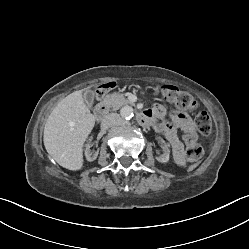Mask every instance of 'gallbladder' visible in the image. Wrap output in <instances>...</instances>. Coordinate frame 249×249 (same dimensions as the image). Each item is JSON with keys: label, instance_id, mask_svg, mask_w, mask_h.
<instances>
[{"label": "gallbladder", "instance_id": "obj_1", "mask_svg": "<svg viewBox=\"0 0 249 249\" xmlns=\"http://www.w3.org/2000/svg\"><path fill=\"white\" fill-rule=\"evenodd\" d=\"M83 99L89 108H93L95 94L93 91L86 89L83 92Z\"/></svg>", "mask_w": 249, "mask_h": 249}]
</instances>
